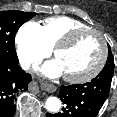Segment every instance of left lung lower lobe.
I'll use <instances>...</instances> for the list:
<instances>
[{
	"label": "left lung lower lobe",
	"instance_id": "1",
	"mask_svg": "<svg viewBox=\"0 0 117 117\" xmlns=\"http://www.w3.org/2000/svg\"><path fill=\"white\" fill-rule=\"evenodd\" d=\"M110 86L93 79L85 84L61 86L62 112L47 117H96L108 97Z\"/></svg>",
	"mask_w": 117,
	"mask_h": 117
}]
</instances>
